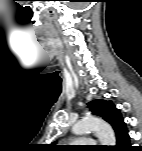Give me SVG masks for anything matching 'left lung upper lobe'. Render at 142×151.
I'll list each match as a JSON object with an SVG mask.
<instances>
[{
    "instance_id": "5c2ea615",
    "label": "left lung upper lobe",
    "mask_w": 142,
    "mask_h": 151,
    "mask_svg": "<svg viewBox=\"0 0 142 151\" xmlns=\"http://www.w3.org/2000/svg\"><path fill=\"white\" fill-rule=\"evenodd\" d=\"M91 112L103 118L113 127L116 137L126 129V124L121 116L120 110L110 102L105 100H93L88 103Z\"/></svg>"
}]
</instances>
